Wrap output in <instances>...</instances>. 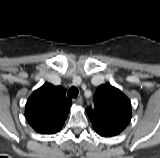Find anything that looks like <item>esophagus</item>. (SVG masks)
<instances>
[{"mask_svg": "<svg viewBox=\"0 0 160 158\" xmlns=\"http://www.w3.org/2000/svg\"><path fill=\"white\" fill-rule=\"evenodd\" d=\"M73 102L78 104V105H82L83 104V100L81 97H78L77 99H73Z\"/></svg>", "mask_w": 160, "mask_h": 158, "instance_id": "1", "label": "esophagus"}]
</instances>
